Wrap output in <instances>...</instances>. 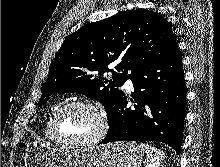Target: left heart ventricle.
<instances>
[{"label": "left heart ventricle", "mask_w": 220, "mask_h": 167, "mask_svg": "<svg viewBox=\"0 0 220 167\" xmlns=\"http://www.w3.org/2000/svg\"><path fill=\"white\" fill-rule=\"evenodd\" d=\"M56 127L60 138L80 140L95 133L98 128V120L87 108L72 106L59 115Z\"/></svg>", "instance_id": "1"}]
</instances>
